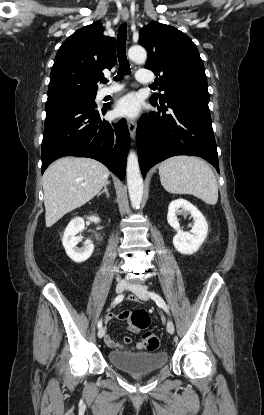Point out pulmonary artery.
Returning <instances> with one entry per match:
<instances>
[{
  "label": "pulmonary artery",
  "mask_w": 264,
  "mask_h": 415,
  "mask_svg": "<svg viewBox=\"0 0 264 415\" xmlns=\"http://www.w3.org/2000/svg\"><path fill=\"white\" fill-rule=\"evenodd\" d=\"M136 79L143 84H150L154 81V77L152 75L144 73V72H138L136 75ZM121 88H122V85L113 84L110 87L102 89L101 94L104 96L109 95V94L119 91Z\"/></svg>",
  "instance_id": "pulmonary-artery-1"
}]
</instances>
